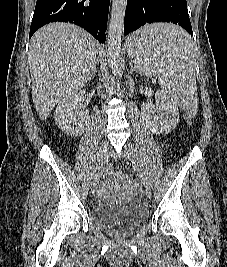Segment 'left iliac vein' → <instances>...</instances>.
I'll return each mask as SVG.
<instances>
[{"mask_svg": "<svg viewBox=\"0 0 227 267\" xmlns=\"http://www.w3.org/2000/svg\"><path fill=\"white\" fill-rule=\"evenodd\" d=\"M123 156L126 157L133 164L145 188L150 189L151 181L147 176L141 159L139 158L135 149L132 146L127 145L126 151L123 153Z\"/></svg>", "mask_w": 227, "mask_h": 267, "instance_id": "obj_1", "label": "left iliac vein"}]
</instances>
